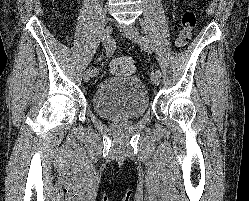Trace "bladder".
Here are the masks:
<instances>
[{
  "instance_id": "bladder-1",
  "label": "bladder",
  "mask_w": 249,
  "mask_h": 201,
  "mask_svg": "<svg viewBox=\"0 0 249 201\" xmlns=\"http://www.w3.org/2000/svg\"><path fill=\"white\" fill-rule=\"evenodd\" d=\"M92 105L95 113L112 120H133L149 108L146 88L137 76H113L97 86Z\"/></svg>"
}]
</instances>
